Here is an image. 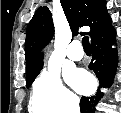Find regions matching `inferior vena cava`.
<instances>
[{
    "label": "inferior vena cava",
    "mask_w": 121,
    "mask_h": 113,
    "mask_svg": "<svg viewBox=\"0 0 121 113\" xmlns=\"http://www.w3.org/2000/svg\"><path fill=\"white\" fill-rule=\"evenodd\" d=\"M70 113H80L79 102L75 101L70 106Z\"/></svg>",
    "instance_id": "inferior-vena-cava-1"
}]
</instances>
